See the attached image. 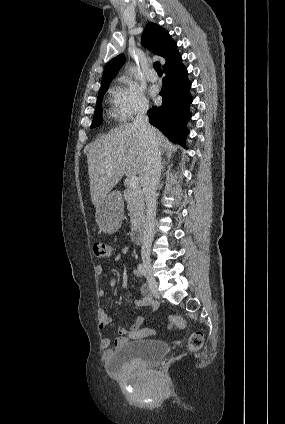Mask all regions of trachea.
Listing matches in <instances>:
<instances>
[{
  "label": "trachea",
  "instance_id": "3493384b",
  "mask_svg": "<svg viewBox=\"0 0 285 424\" xmlns=\"http://www.w3.org/2000/svg\"><path fill=\"white\" fill-rule=\"evenodd\" d=\"M153 67H154V69L156 70V72H157L158 74H162V69H161V65H160V63H159V62H155V63L153 64Z\"/></svg>",
  "mask_w": 285,
  "mask_h": 424
}]
</instances>
